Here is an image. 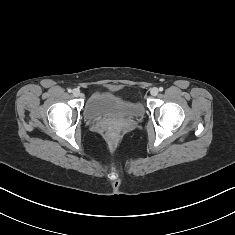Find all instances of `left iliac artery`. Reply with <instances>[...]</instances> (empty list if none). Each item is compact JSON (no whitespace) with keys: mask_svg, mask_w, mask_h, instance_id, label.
<instances>
[{"mask_svg":"<svg viewBox=\"0 0 235 235\" xmlns=\"http://www.w3.org/2000/svg\"><path fill=\"white\" fill-rule=\"evenodd\" d=\"M159 91H163V87H160V88H159Z\"/></svg>","mask_w":235,"mask_h":235,"instance_id":"1","label":"left iliac artery"}]
</instances>
